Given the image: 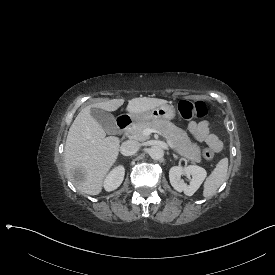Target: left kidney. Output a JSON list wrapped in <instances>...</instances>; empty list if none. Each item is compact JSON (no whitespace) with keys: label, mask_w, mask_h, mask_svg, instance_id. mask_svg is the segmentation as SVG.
Here are the masks:
<instances>
[{"label":"left kidney","mask_w":275,"mask_h":275,"mask_svg":"<svg viewBox=\"0 0 275 275\" xmlns=\"http://www.w3.org/2000/svg\"><path fill=\"white\" fill-rule=\"evenodd\" d=\"M184 174L192 176L189 180V184H185L184 181L180 180L181 176ZM205 177L206 171L195 165H189L188 167L177 165L171 167L169 170V180L171 186L177 192H184L186 196H192L204 181Z\"/></svg>","instance_id":"left-kidney-1"}]
</instances>
